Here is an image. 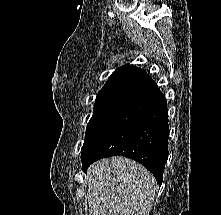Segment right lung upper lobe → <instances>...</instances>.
<instances>
[{"mask_svg":"<svg viewBox=\"0 0 221 215\" xmlns=\"http://www.w3.org/2000/svg\"><path fill=\"white\" fill-rule=\"evenodd\" d=\"M155 82L145 70L133 65L118 68L98 93L96 101L134 100L153 87Z\"/></svg>","mask_w":221,"mask_h":215,"instance_id":"obj_1","label":"right lung upper lobe"}]
</instances>
